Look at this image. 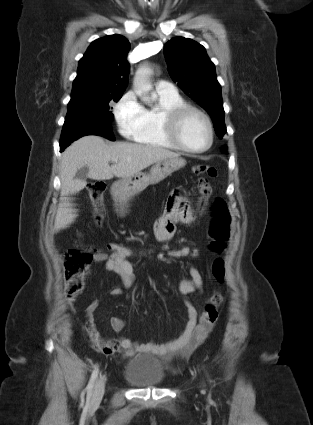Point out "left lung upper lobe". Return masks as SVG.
<instances>
[{
  "instance_id": "1",
  "label": "left lung upper lobe",
  "mask_w": 313,
  "mask_h": 425,
  "mask_svg": "<svg viewBox=\"0 0 313 425\" xmlns=\"http://www.w3.org/2000/svg\"><path fill=\"white\" fill-rule=\"evenodd\" d=\"M164 55L171 78L209 113L217 136L222 138L227 131L221 86L205 48L192 39L179 36L165 44Z\"/></svg>"
}]
</instances>
